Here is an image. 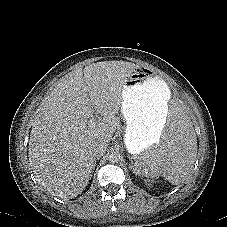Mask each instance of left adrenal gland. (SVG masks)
<instances>
[{
    "label": "left adrenal gland",
    "mask_w": 227,
    "mask_h": 227,
    "mask_svg": "<svg viewBox=\"0 0 227 227\" xmlns=\"http://www.w3.org/2000/svg\"><path fill=\"white\" fill-rule=\"evenodd\" d=\"M130 169H133L134 170V173H135V171H136V168H135V165H133V160L132 159H130Z\"/></svg>",
    "instance_id": "1"
}]
</instances>
